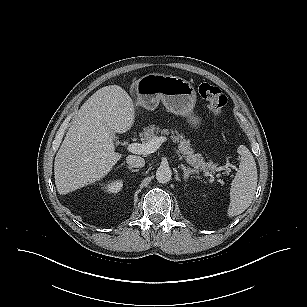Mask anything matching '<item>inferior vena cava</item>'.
Wrapping results in <instances>:
<instances>
[{"label":"inferior vena cava","mask_w":307,"mask_h":307,"mask_svg":"<svg viewBox=\"0 0 307 307\" xmlns=\"http://www.w3.org/2000/svg\"><path fill=\"white\" fill-rule=\"evenodd\" d=\"M127 164L134 168H142L145 165L144 158L135 155H129L126 158Z\"/></svg>","instance_id":"602c4592"}]
</instances>
